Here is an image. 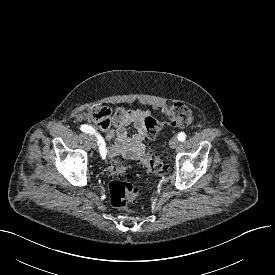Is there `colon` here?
I'll list each match as a JSON object with an SVG mask.
<instances>
[{
    "label": "colon",
    "mask_w": 275,
    "mask_h": 275,
    "mask_svg": "<svg viewBox=\"0 0 275 275\" xmlns=\"http://www.w3.org/2000/svg\"><path fill=\"white\" fill-rule=\"evenodd\" d=\"M165 112L171 124L177 127L187 126L193 119L192 110L182 102L169 105ZM111 116L110 108L103 105L92 107L86 114V118L94 122L102 131H107L110 128ZM146 127L148 130L147 141L150 142L156 136L159 126L153 118H149L146 121ZM139 161L149 172L157 173L163 169L162 160L150 147L139 158ZM108 168L112 174L109 183L110 203L115 208L124 209L130 202L137 200L139 191L131 181L122 177L125 167L120 161H111Z\"/></svg>",
    "instance_id": "obj_1"
}]
</instances>
